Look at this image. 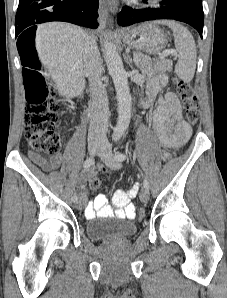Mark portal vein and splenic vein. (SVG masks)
<instances>
[{
	"instance_id": "1",
	"label": "portal vein and splenic vein",
	"mask_w": 227,
	"mask_h": 298,
	"mask_svg": "<svg viewBox=\"0 0 227 298\" xmlns=\"http://www.w3.org/2000/svg\"><path fill=\"white\" fill-rule=\"evenodd\" d=\"M171 53H174L175 55H177L176 52H173L172 50H165L159 57L164 58V57L170 55ZM133 60L135 63H138L141 59L137 55H134Z\"/></svg>"
}]
</instances>
